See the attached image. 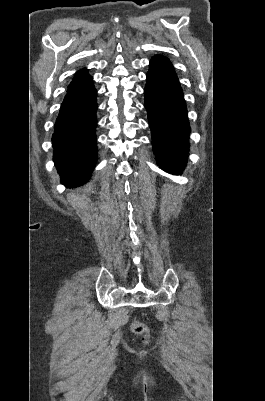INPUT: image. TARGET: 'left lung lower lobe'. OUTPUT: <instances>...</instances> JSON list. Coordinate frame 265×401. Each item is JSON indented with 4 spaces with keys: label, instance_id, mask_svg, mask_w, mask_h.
I'll list each match as a JSON object with an SVG mask.
<instances>
[{
    "label": "left lung lower lobe",
    "instance_id": "left-lung-lower-lobe-1",
    "mask_svg": "<svg viewBox=\"0 0 265 401\" xmlns=\"http://www.w3.org/2000/svg\"><path fill=\"white\" fill-rule=\"evenodd\" d=\"M144 94L157 163L167 172L181 174L187 162L190 126L180 83L166 57L151 59Z\"/></svg>",
    "mask_w": 265,
    "mask_h": 401
}]
</instances>
